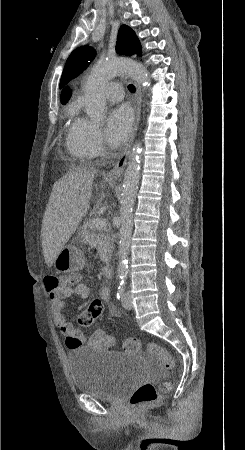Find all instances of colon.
Wrapping results in <instances>:
<instances>
[{"label": "colon", "mask_w": 245, "mask_h": 450, "mask_svg": "<svg viewBox=\"0 0 245 450\" xmlns=\"http://www.w3.org/2000/svg\"><path fill=\"white\" fill-rule=\"evenodd\" d=\"M79 276L76 273L68 276H48L45 278V289L47 292L59 291L62 288L78 281ZM103 303L100 300L91 302L84 311L78 316L77 322L79 328L76 329L68 338L69 346H80L84 344L86 337L82 328L90 327L101 315ZM124 348L127 351H135L138 349V343L135 339H129ZM146 348L150 354L155 356L163 368L169 369L173 365L172 355L163 347L149 342ZM171 382L165 381L161 383L160 388L157 389L152 383H144L140 385L131 395L129 405L134 409H140L144 406L157 402L160 398V392H165L170 389Z\"/></svg>", "instance_id": "colon-1"}]
</instances>
